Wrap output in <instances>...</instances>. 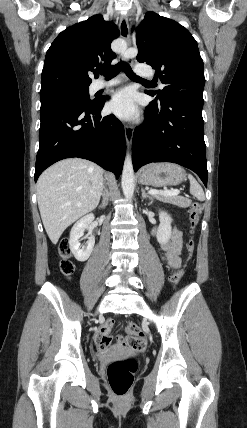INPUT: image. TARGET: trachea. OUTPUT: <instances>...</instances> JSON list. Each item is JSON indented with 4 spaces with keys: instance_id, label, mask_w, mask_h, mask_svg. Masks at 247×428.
<instances>
[{
    "instance_id": "3493384b",
    "label": "trachea",
    "mask_w": 247,
    "mask_h": 428,
    "mask_svg": "<svg viewBox=\"0 0 247 428\" xmlns=\"http://www.w3.org/2000/svg\"><path fill=\"white\" fill-rule=\"evenodd\" d=\"M123 70L124 73L131 79L133 80H138V81H146L149 82L145 79L140 78L139 76H137L131 69V67L126 64V63H119L117 65H115L112 68L106 69V70H100L99 73L104 75L106 79H111L115 76H117L120 71Z\"/></svg>"
}]
</instances>
